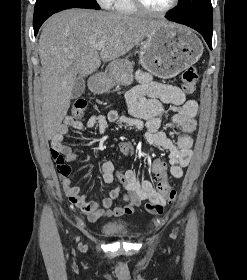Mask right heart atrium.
<instances>
[{
    "mask_svg": "<svg viewBox=\"0 0 247 280\" xmlns=\"http://www.w3.org/2000/svg\"><path fill=\"white\" fill-rule=\"evenodd\" d=\"M97 3L102 7H110L112 5L113 0H96Z\"/></svg>",
    "mask_w": 247,
    "mask_h": 280,
    "instance_id": "right-heart-atrium-1",
    "label": "right heart atrium"
}]
</instances>
